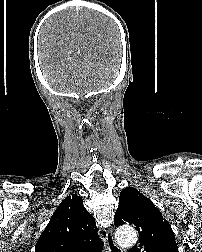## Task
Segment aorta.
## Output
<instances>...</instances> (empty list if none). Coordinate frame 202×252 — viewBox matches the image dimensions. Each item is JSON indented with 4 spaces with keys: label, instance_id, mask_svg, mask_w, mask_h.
I'll return each instance as SVG.
<instances>
[{
    "label": "aorta",
    "instance_id": "762f6f07",
    "mask_svg": "<svg viewBox=\"0 0 202 252\" xmlns=\"http://www.w3.org/2000/svg\"><path fill=\"white\" fill-rule=\"evenodd\" d=\"M115 237L122 246H132L137 242V232L130 226L118 228Z\"/></svg>",
    "mask_w": 202,
    "mask_h": 252
}]
</instances>
